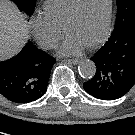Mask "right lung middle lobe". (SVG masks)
Returning <instances> with one entry per match:
<instances>
[{"instance_id":"obj_1","label":"right lung middle lobe","mask_w":135,"mask_h":135,"mask_svg":"<svg viewBox=\"0 0 135 135\" xmlns=\"http://www.w3.org/2000/svg\"><path fill=\"white\" fill-rule=\"evenodd\" d=\"M18 7L25 11L28 15H31L34 11L36 0H12Z\"/></svg>"}]
</instances>
